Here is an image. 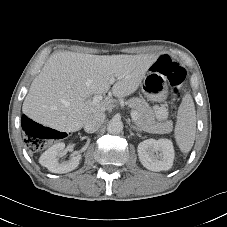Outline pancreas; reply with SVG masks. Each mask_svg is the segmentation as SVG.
Here are the masks:
<instances>
[{
  "label": "pancreas",
  "mask_w": 227,
  "mask_h": 227,
  "mask_svg": "<svg viewBox=\"0 0 227 227\" xmlns=\"http://www.w3.org/2000/svg\"><path fill=\"white\" fill-rule=\"evenodd\" d=\"M126 104L138 114L136 125L143 131L155 134H168L172 131V121L156 122L148 103L141 98H131Z\"/></svg>",
  "instance_id": "pancreas-1"
}]
</instances>
